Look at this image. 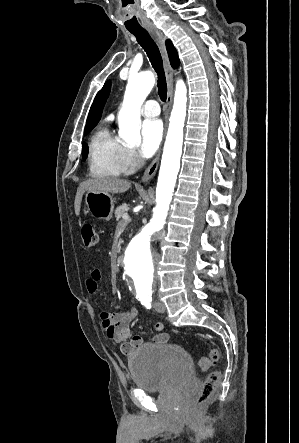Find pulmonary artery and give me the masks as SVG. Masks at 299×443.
Instances as JSON below:
<instances>
[{"instance_id":"e3ab8cb5","label":"pulmonary artery","mask_w":299,"mask_h":443,"mask_svg":"<svg viewBox=\"0 0 299 443\" xmlns=\"http://www.w3.org/2000/svg\"><path fill=\"white\" fill-rule=\"evenodd\" d=\"M141 112L146 117H154L160 113V108L155 100H148L142 106Z\"/></svg>"}]
</instances>
